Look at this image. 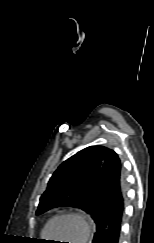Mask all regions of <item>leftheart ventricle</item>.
Here are the masks:
<instances>
[{
    "mask_svg": "<svg viewBox=\"0 0 154 243\" xmlns=\"http://www.w3.org/2000/svg\"><path fill=\"white\" fill-rule=\"evenodd\" d=\"M49 236L57 239L69 238V243H79L81 237L80 223L71 218H60L53 222ZM59 241H57L58 243Z\"/></svg>",
    "mask_w": 154,
    "mask_h": 243,
    "instance_id": "left-heart-ventricle-1",
    "label": "left heart ventricle"
}]
</instances>
